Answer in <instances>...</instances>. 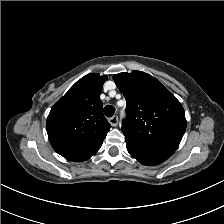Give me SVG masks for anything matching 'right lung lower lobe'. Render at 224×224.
<instances>
[{
  "label": "right lung lower lobe",
  "mask_w": 224,
  "mask_h": 224,
  "mask_svg": "<svg viewBox=\"0 0 224 224\" xmlns=\"http://www.w3.org/2000/svg\"><path fill=\"white\" fill-rule=\"evenodd\" d=\"M52 147L55 151L64 158L71 161H84L94 155L99 148L95 150H87L81 144L75 142L72 139L55 136L49 138Z\"/></svg>",
  "instance_id": "obj_1"
}]
</instances>
